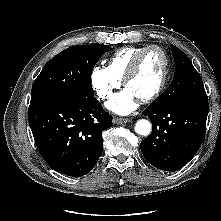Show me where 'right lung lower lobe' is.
I'll return each instance as SVG.
<instances>
[{"mask_svg":"<svg viewBox=\"0 0 221 221\" xmlns=\"http://www.w3.org/2000/svg\"><path fill=\"white\" fill-rule=\"evenodd\" d=\"M28 120L43 159L73 177L91 171L103 150L102 133L112 126V116L94 96L30 103Z\"/></svg>","mask_w":221,"mask_h":221,"instance_id":"obj_1","label":"right lung lower lobe"}]
</instances>
